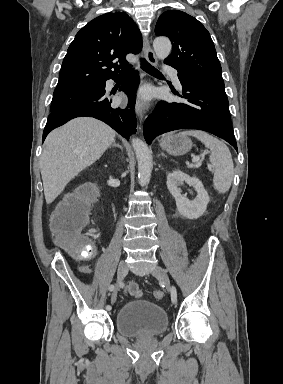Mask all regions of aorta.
<instances>
[{
	"mask_svg": "<svg viewBox=\"0 0 283 384\" xmlns=\"http://www.w3.org/2000/svg\"><path fill=\"white\" fill-rule=\"evenodd\" d=\"M154 51L159 59H165L171 53V42L166 37H158L153 42ZM136 158L138 161V177L141 186H145L150 181L152 169L151 152L145 142L138 138L132 139Z\"/></svg>",
	"mask_w": 283,
	"mask_h": 384,
	"instance_id": "762f6f07",
	"label": "aorta"
}]
</instances>
